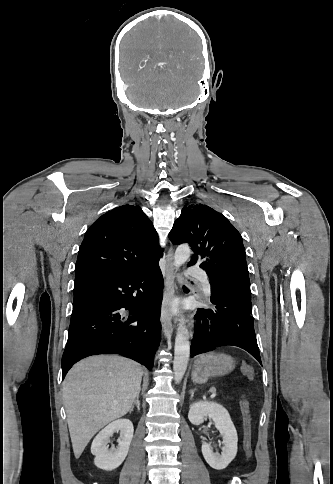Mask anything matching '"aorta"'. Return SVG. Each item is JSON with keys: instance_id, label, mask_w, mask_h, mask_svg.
<instances>
[{"instance_id": "1", "label": "aorta", "mask_w": 333, "mask_h": 484, "mask_svg": "<svg viewBox=\"0 0 333 484\" xmlns=\"http://www.w3.org/2000/svg\"><path fill=\"white\" fill-rule=\"evenodd\" d=\"M191 249L187 244H181L177 247L174 255V265L179 267L184 264L190 257ZM187 330L183 322L179 325L175 338L173 371L176 383H179L187 369L190 356V342L186 336Z\"/></svg>"}]
</instances>
